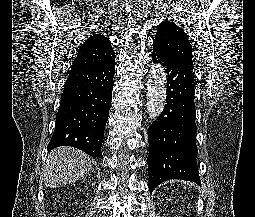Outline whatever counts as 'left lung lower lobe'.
Masks as SVG:
<instances>
[{"instance_id": "left-lung-lower-lobe-1", "label": "left lung lower lobe", "mask_w": 255, "mask_h": 217, "mask_svg": "<svg viewBox=\"0 0 255 217\" xmlns=\"http://www.w3.org/2000/svg\"><path fill=\"white\" fill-rule=\"evenodd\" d=\"M152 60L165 67L168 78L166 104L149 127V188L169 179L199 184L193 68L157 48Z\"/></svg>"}]
</instances>
